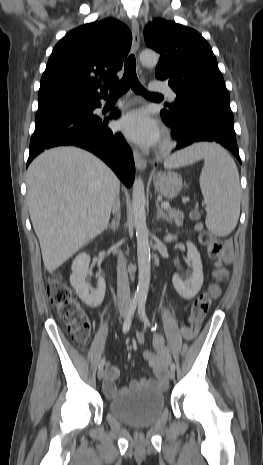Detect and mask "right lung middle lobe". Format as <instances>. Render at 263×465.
Masks as SVG:
<instances>
[{
  "label": "right lung middle lobe",
  "mask_w": 263,
  "mask_h": 465,
  "mask_svg": "<svg viewBox=\"0 0 263 465\" xmlns=\"http://www.w3.org/2000/svg\"><path fill=\"white\" fill-rule=\"evenodd\" d=\"M93 99L84 97H57L38 101L37 114L63 108H86L91 105Z\"/></svg>",
  "instance_id": "obj_1"
}]
</instances>
